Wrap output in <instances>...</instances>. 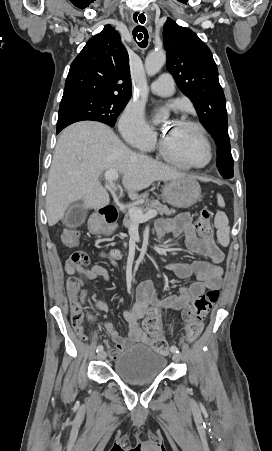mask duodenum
Listing matches in <instances>:
<instances>
[{
	"instance_id": "duodenum-1",
	"label": "duodenum",
	"mask_w": 272,
	"mask_h": 451,
	"mask_svg": "<svg viewBox=\"0 0 272 451\" xmlns=\"http://www.w3.org/2000/svg\"><path fill=\"white\" fill-rule=\"evenodd\" d=\"M118 211L113 205H106L99 210V214L90 222V231L94 235L107 233L108 226L117 220Z\"/></svg>"
}]
</instances>
